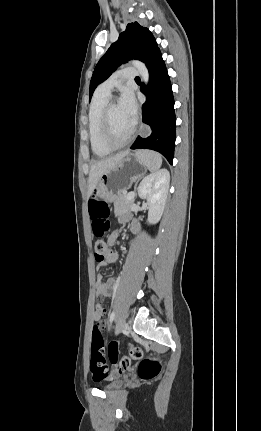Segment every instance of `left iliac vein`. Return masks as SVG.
<instances>
[{
    "mask_svg": "<svg viewBox=\"0 0 261 431\" xmlns=\"http://www.w3.org/2000/svg\"><path fill=\"white\" fill-rule=\"evenodd\" d=\"M125 326H126V319L124 317H121L116 325V329H115L116 334L120 333Z\"/></svg>",
    "mask_w": 261,
    "mask_h": 431,
    "instance_id": "4c4485c4",
    "label": "left iliac vein"
}]
</instances>
